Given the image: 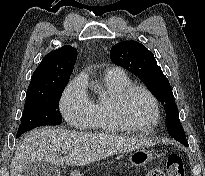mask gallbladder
Masks as SVG:
<instances>
[{
  "mask_svg": "<svg viewBox=\"0 0 205 176\" xmlns=\"http://www.w3.org/2000/svg\"><path fill=\"white\" fill-rule=\"evenodd\" d=\"M22 176H60V169L49 162L36 161L27 164Z\"/></svg>",
  "mask_w": 205,
  "mask_h": 176,
  "instance_id": "obj_1",
  "label": "gallbladder"
}]
</instances>
